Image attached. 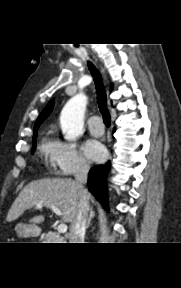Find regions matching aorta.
<instances>
[{
  "instance_id": "aorta-1",
  "label": "aorta",
  "mask_w": 181,
  "mask_h": 288,
  "mask_svg": "<svg viewBox=\"0 0 181 288\" xmlns=\"http://www.w3.org/2000/svg\"><path fill=\"white\" fill-rule=\"evenodd\" d=\"M86 105L87 97L80 93L64 106L60 115V125L66 140H73L83 133Z\"/></svg>"
}]
</instances>
